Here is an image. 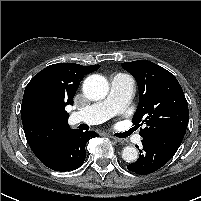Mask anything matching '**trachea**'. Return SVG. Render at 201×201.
Wrapping results in <instances>:
<instances>
[{"label":"trachea","instance_id":"obj_1","mask_svg":"<svg viewBox=\"0 0 201 201\" xmlns=\"http://www.w3.org/2000/svg\"><path fill=\"white\" fill-rule=\"evenodd\" d=\"M129 135H130V133H128V132L116 134V136L119 138H126Z\"/></svg>","mask_w":201,"mask_h":201}]
</instances>
